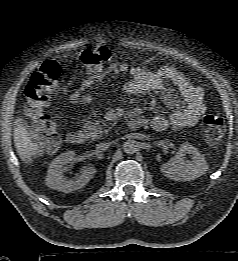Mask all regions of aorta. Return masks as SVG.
I'll return each instance as SVG.
<instances>
[{"label": "aorta", "mask_w": 238, "mask_h": 261, "mask_svg": "<svg viewBox=\"0 0 238 261\" xmlns=\"http://www.w3.org/2000/svg\"><path fill=\"white\" fill-rule=\"evenodd\" d=\"M138 150V145L135 140L129 139L123 143V151L126 154H134Z\"/></svg>", "instance_id": "1"}]
</instances>
